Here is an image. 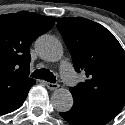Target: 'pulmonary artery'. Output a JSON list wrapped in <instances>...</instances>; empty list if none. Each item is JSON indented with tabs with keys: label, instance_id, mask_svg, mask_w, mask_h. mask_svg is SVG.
<instances>
[{
	"label": "pulmonary artery",
	"instance_id": "pulmonary-artery-1",
	"mask_svg": "<svg viewBox=\"0 0 125 125\" xmlns=\"http://www.w3.org/2000/svg\"><path fill=\"white\" fill-rule=\"evenodd\" d=\"M60 75H61L62 79L64 80V82L70 87L76 85L78 82L77 76H76L73 68L67 62H63L61 64Z\"/></svg>",
	"mask_w": 125,
	"mask_h": 125
}]
</instances>
